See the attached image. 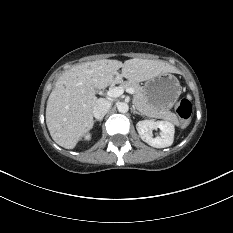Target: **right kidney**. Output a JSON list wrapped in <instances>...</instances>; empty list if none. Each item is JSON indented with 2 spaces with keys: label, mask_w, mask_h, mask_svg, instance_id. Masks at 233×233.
Returning <instances> with one entry per match:
<instances>
[{
  "label": "right kidney",
  "mask_w": 233,
  "mask_h": 233,
  "mask_svg": "<svg viewBox=\"0 0 233 233\" xmlns=\"http://www.w3.org/2000/svg\"><path fill=\"white\" fill-rule=\"evenodd\" d=\"M90 138H91L90 134H87V135L85 136V140H89Z\"/></svg>",
  "instance_id": "1"
}]
</instances>
